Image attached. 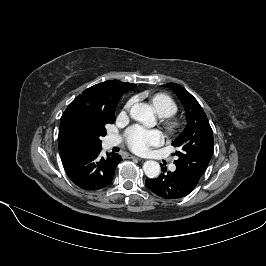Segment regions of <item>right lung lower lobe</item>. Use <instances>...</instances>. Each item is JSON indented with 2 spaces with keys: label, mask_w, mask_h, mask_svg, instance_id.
Instances as JSON below:
<instances>
[{
  "label": "right lung lower lobe",
  "mask_w": 266,
  "mask_h": 266,
  "mask_svg": "<svg viewBox=\"0 0 266 266\" xmlns=\"http://www.w3.org/2000/svg\"><path fill=\"white\" fill-rule=\"evenodd\" d=\"M100 152L101 147L89 148L62 160L66 174L79 188L99 190L112 182L116 166L122 158L115 153H108L103 158Z\"/></svg>",
  "instance_id": "1"
}]
</instances>
